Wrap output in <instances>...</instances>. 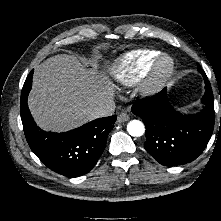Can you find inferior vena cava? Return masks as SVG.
I'll use <instances>...</instances> for the list:
<instances>
[{"instance_id":"obj_1","label":"inferior vena cava","mask_w":221,"mask_h":221,"mask_svg":"<svg viewBox=\"0 0 221 221\" xmlns=\"http://www.w3.org/2000/svg\"><path fill=\"white\" fill-rule=\"evenodd\" d=\"M114 111H115V102L113 100H109L106 103L96 107L92 111L91 116L93 119L107 117L113 115Z\"/></svg>"}]
</instances>
